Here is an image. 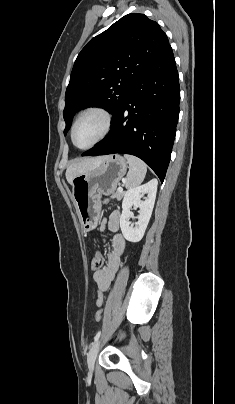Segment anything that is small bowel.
Wrapping results in <instances>:
<instances>
[{
    "mask_svg": "<svg viewBox=\"0 0 235 404\" xmlns=\"http://www.w3.org/2000/svg\"><path fill=\"white\" fill-rule=\"evenodd\" d=\"M108 227L116 232L119 227V213L114 212L107 221ZM125 240L121 234H116L113 238L110 251L107 254V262L104 267L94 273V281L97 285V294L95 298L96 306L103 304V295L110 288L111 282L120 266L121 258L125 252Z\"/></svg>",
    "mask_w": 235,
    "mask_h": 404,
    "instance_id": "c3829d8e",
    "label": "small bowel"
}]
</instances>
